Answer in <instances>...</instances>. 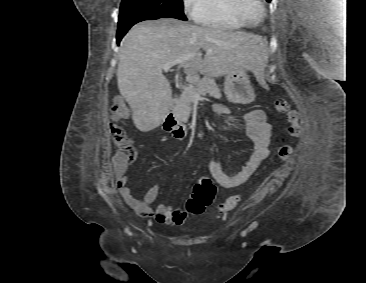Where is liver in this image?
<instances>
[{"instance_id": "liver-1", "label": "liver", "mask_w": 366, "mask_h": 283, "mask_svg": "<svg viewBox=\"0 0 366 283\" xmlns=\"http://www.w3.org/2000/svg\"><path fill=\"white\" fill-rule=\"evenodd\" d=\"M201 49L206 51L202 58ZM181 60L184 73L221 77L247 69L263 79L265 54L260 36L220 27H201L175 18L134 25L121 42L117 83L132 109L138 130L148 132L165 119L172 90L162 73L165 63Z\"/></svg>"}]
</instances>
